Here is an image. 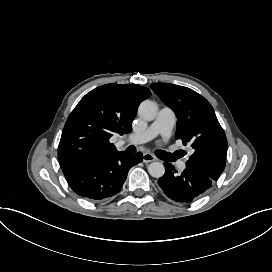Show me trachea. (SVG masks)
I'll return each instance as SVG.
<instances>
[{"label": "trachea", "mask_w": 272, "mask_h": 272, "mask_svg": "<svg viewBox=\"0 0 272 272\" xmlns=\"http://www.w3.org/2000/svg\"><path fill=\"white\" fill-rule=\"evenodd\" d=\"M126 151L129 153V154H134L136 152V148L133 146V145H130Z\"/></svg>", "instance_id": "trachea-1"}]
</instances>
